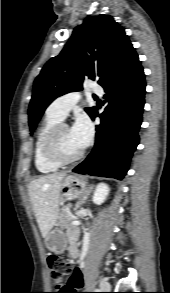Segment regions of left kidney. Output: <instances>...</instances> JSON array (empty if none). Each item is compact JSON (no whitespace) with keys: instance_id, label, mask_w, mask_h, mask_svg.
Segmentation results:
<instances>
[{"instance_id":"1","label":"left kidney","mask_w":170,"mask_h":293,"mask_svg":"<svg viewBox=\"0 0 170 293\" xmlns=\"http://www.w3.org/2000/svg\"><path fill=\"white\" fill-rule=\"evenodd\" d=\"M109 191H110V188L107 184L99 183L96 186V189H95V192H94V195L92 198L93 203H95L97 205L102 204L106 200V198L109 194Z\"/></svg>"}]
</instances>
